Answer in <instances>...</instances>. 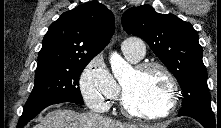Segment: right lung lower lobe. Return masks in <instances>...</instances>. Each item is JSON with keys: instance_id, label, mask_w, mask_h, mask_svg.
<instances>
[{"instance_id": "1", "label": "right lung lower lobe", "mask_w": 221, "mask_h": 128, "mask_svg": "<svg viewBox=\"0 0 221 128\" xmlns=\"http://www.w3.org/2000/svg\"><path fill=\"white\" fill-rule=\"evenodd\" d=\"M62 102H71V101H67V100L46 101V102H43V103H40V104H37L32 107L24 109L22 116L19 119L17 128H23L27 124V122H29L36 115H38L44 108H46L52 104H58V103H62Z\"/></svg>"}]
</instances>
